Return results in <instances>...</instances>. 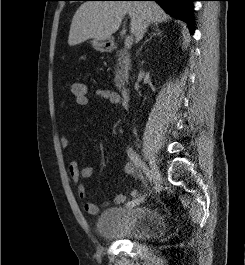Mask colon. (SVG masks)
I'll return each instance as SVG.
<instances>
[{
  "label": "colon",
  "instance_id": "colon-1",
  "mask_svg": "<svg viewBox=\"0 0 245 265\" xmlns=\"http://www.w3.org/2000/svg\"><path fill=\"white\" fill-rule=\"evenodd\" d=\"M71 94L74 97V101L79 106H86L89 102L88 88L84 83L74 82L71 85Z\"/></svg>",
  "mask_w": 245,
  "mask_h": 265
}]
</instances>
